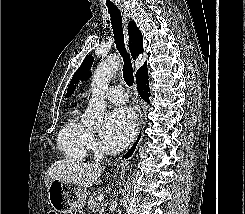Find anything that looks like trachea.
<instances>
[{
  "label": "trachea",
  "instance_id": "trachea-1",
  "mask_svg": "<svg viewBox=\"0 0 245 214\" xmlns=\"http://www.w3.org/2000/svg\"><path fill=\"white\" fill-rule=\"evenodd\" d=\"M108 8V12L111 18V25L114 34V40L116 44V48L119 51L121 57L123 58V78L125 83L132 87L134 84V77H133V68L131 64V60L129 55L126 52L124 46V35H123V28H122V17L121 12L119 9L111 3H106Z\"/></svg>",
  "mask_w": 245,
  "mask_h": 214
}]
</instances>
